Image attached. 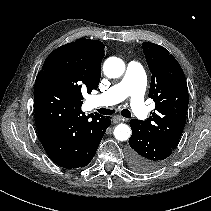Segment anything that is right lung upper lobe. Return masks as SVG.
<instances>
[{
	"label": "right lung upper lobe",
	"mask_w": 211,
	"mask_h": 211,
	"mask_svg": "<svg viewBox=\"0 0 211 211\" xmlns=\"http://www.w3.org/2000/svg\"><path fill=\"white\" fill-rule=\"evenodd\" d=\"M55 51L66 53L83 75L87 85L97 89L101 77V61L104 45L98 40L81 38L57 48Z\"/></svg>",
	"instance_id": "obj_1"
}]
</instances>
